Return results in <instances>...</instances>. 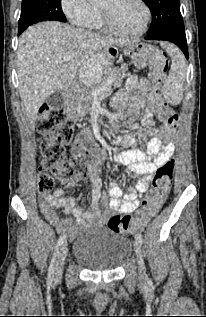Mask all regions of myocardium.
Segmentation results:
<instances>
[{
  "instance_id": "f54148a6",
  "label": "myocardium",
  "mask_w": 206,
  "mask_h": 317,
  "mask_svg": "<svg viewBox=\"0 0 206 317\" xmlns=\"http://www.w3.org/2000/svg\"><path fill=\"white\" fill-rule=\"evenodd\" d=\"M136 1L142 6L145 12L144 24L139 31L134 33H126L119 30L113 23L109 9H107L106 7L100 6V10L102 13V17H103V21H104L106 29L113 34L124 37V38H137L144 35L149 28L151 18H152V13H151L150 7L145 2V0H136Z\"/></svg>"
}]
</instances>
